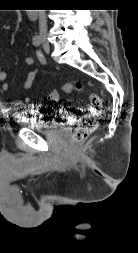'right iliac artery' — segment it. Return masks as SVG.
<instances>
[{"label":"right iliac artery","instance_id":"right-iliac-artery-1","mask_svg":"<svg viewBox=\"0 0 138 253\" xmlns=\"http://www.w3.org/2000/svg\"><path fill=\"white\" fill-rule=\"evenodd\" d=\"M41 42H42L41 37L35 36V37L33 38V44H34L35 46H39V45L41 44Z\"/></svg>","mask_w":138,"mask_h":253}]
</instances>
